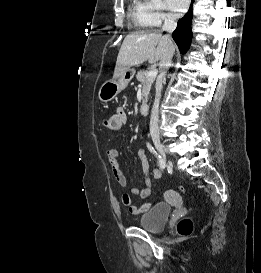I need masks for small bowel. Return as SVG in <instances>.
<instances>
[{
    "instance_id": "obj_1",
    "label": "small bowel",
    "mask_w": 261,
    "mask_h": 273,
    "mask_svg": "<svg viewBox=\"0 0 261 273\" xmlns=\"http://www.w3.org/2000/svg\"><path fill=\"white\" fill-rule=\"evenodd\" d=\"M115 116L120 118L121 121V128L123 125L127 124L128 122V115L123 107H119L116 110ZM141 172L144 179V184L141 189L132 187L126 193H124L121 197L122 203L128 207L130 213L132 214H140L146 212L150 206L152 205L151 202H145L141 206H136L132 203V196L139 195L141 198L146 199L151 194V182H150V169L149 164L146 156V151L143 148H140L137 152ZM119 158V151L116 148H110L107 150V159L111 165L113 176L115 181L119 186H126L127 180L126 176L120 166L118 161ZM155 177H159V173H155Z\"/></svg>"
}]
</instances>
